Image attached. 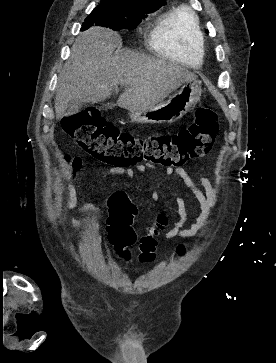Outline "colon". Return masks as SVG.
<instances>
[{"label":"colon","mask_w":276,"mask_h":363,"mask_svg":"<svg viewBox=\"0 0 276 363\" xmlns=\"http://www.w3.org/2000/svg\"><path fill=\"white\" fill-rule=\"evenodd\" d=\"M62 128L84 151L100 161L116 166H131L144 161L164 167H178L210 151L218 132V117L210 107L203 105L197 108L195 120L188 128L175 134L159 133L145 138H135L129 133L119 132L115 126L107 123L96 109H90L66 117L62 122ZM108 234L119 255L129 260L131 254L126 248L137 241L129 214L111 209ZM139 249L140 262L153 261L155 236H141ZM177 253L179 256L183 255L185 247L180 245Z\"/></svg>","instance_id":"colon-1"}]
</instances>
